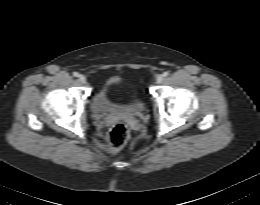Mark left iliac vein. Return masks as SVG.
<instances>
[{"label": "left iliac vein", "instance_id": "4c4485c4", "mask_svg": "<svg viewBox=\"0 0 260 205\" xmlns=\"http://www.w3.org/2000/svg\"><path fill=\"white\" fill-rule=\"evenodd\" d=\"M163 80H164L163 75H158V76L156 77V82H157L158 84L162 83Z\"/></svg>", "mask_w": 260, "mask_h": 205}]
</instances>
